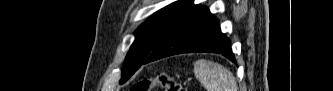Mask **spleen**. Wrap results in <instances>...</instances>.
I'll return each instance as SVG.
<instances>
[{"label":"spleen","mask_w":333,"mask_h":91,"mask_svg":"<svg viewBox=\"0 0 333 91\" xmlns=\"http://www.w3.org/2000/svg\"><path fill=\"white\" fill-rule=\"evenodd\" d=\"M194 75L207 91H237L232 72L217 62L200 59L194 62Z\"/></svg>","instance_id":"1"}]
</instances>
